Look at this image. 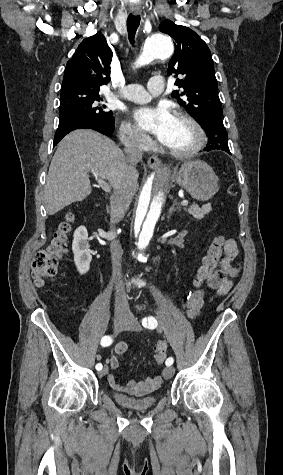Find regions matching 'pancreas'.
I'll return each mask as SVG.
<instances>
[{"label":"pancreas","mask_w":283,"mask_h":475,"mask_svg":"<svg viewBox=\"0 0 283 475\" xmlns=\"http://www.w3.org/2000/svg\"><path fill=\"white\" fill-rule=\"evenodd\" d=\"M186 212H189L193 218H196V220H202L206 214H209L211 212L212 208L211 206H202V208H199L198 204H192L190 208H185Z\"/></svg>","instance_id":"pancreas-1"}]
</instances>
